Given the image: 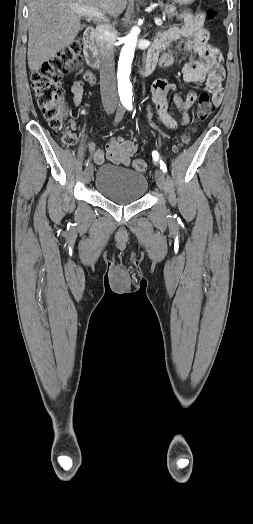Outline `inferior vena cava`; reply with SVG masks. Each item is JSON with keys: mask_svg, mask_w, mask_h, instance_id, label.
Returning a JSON list of instances; mask_svg holds the SVG:
<instances>
[{"mask_svg": "<svg viewBox=\"0 0 253 524\" xmlns=\"http://www.w3.org/2000/svg\"><path fill=\"white\" fill-rule=\"evenodd\" d=\"M100 52V89L104 106L116 107L117 91L114 63V38L112 27L101 24L96 28Z\"/></svg>", "mask_w": 253, "mask_h": 524, "instance_id": "inferior-vena-cava-1", "label": "inferior vena cava"}]
</instances>
